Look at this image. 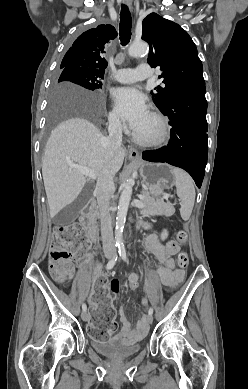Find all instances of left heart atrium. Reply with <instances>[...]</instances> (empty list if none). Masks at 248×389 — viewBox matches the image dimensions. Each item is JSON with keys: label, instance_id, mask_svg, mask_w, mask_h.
<instances>
[{"label": "left heart atrium", "instance_id": "left-heart-atrium-1", "mask_svg": "<svg viewBox=\"0 0 248 389\" xmlns=\"http://www.w3.org/2000/svg\"><path fill=\"white\" fill-rule=\"evenodd\" d=\"M112 99L120 116L135 130L148 116L144 95L134 87H120L112 92Z\"/></svg>", "mask_w": 248, "mask_h": 389}]
</instances>
